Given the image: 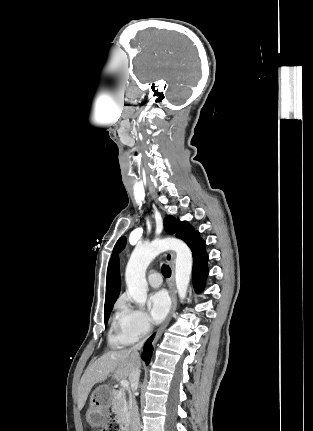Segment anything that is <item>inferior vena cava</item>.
Segmentation results:
<instances>
[{
    "label": "inferior vena cava",
    "instance_id": "inferior-vena-cava-1",
    "mask_svg": "<svg viewBox=\"0 0 313 431\" xmlns=\"http://www.w3.org/2000/svg\"><path fill=\"white\" fill-rule=\"evenodd\" d=\"M143 341L137 343L131 348V352L135 356H139L138 351L142 348ZM139 376H140V370L139 367H135L130 375H129V381L131 383V389L133 392H135L138 388L139 383ZM130 431H140V418L138 413V406L136 404V400L134 396L130 400Z\"/></svg>",
    "mask_w": 313,
    "mask_h": 431
}]
</instances>
